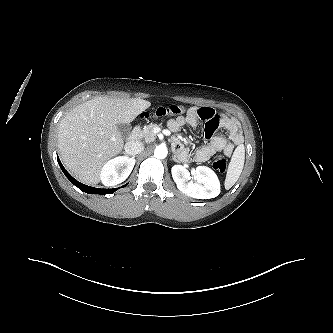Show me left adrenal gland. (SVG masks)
<instances>
[{
	"instance_id": "left-adrenal-gland-1",
	"label": "left adrenal gland",
	"mask_w": 333,
	"mask_h": 333,
	"mask_svg": "<svg viewBox=\"0 0 333 333\" xmlns=\"http://www.w3.org/2000/svg\"><path fill=\"white\" fill-rule=\"evenodd\" d=\"M173 160L177 163H180V161L174 156Z\"/></svg>"
}]
</instances>
